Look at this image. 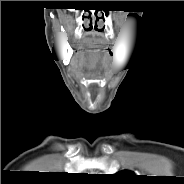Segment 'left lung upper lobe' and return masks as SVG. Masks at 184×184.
<instances>
[{"label":"left lung upper lobe","instance_id":"5c2ea615","mask_svg":"<svg viewBox=\"0 0 184 184\" xmlns=\"http://www.w3.org/2000/svg\"><path fill=\"white\" fill-rule=\"evenodd\" d=\"M119 174H121L122 176H131V175H134V173H132L131 171H122Z\"/></svg>","mask_w":184,"mask_h":184}]
</instances>
